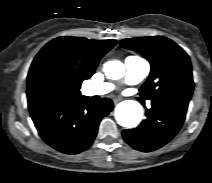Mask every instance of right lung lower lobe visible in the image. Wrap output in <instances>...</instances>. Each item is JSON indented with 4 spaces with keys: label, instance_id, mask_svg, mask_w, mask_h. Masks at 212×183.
<instances>
[{
    "label": "right lung lower lobe",
    "instance_id": "98d812e1",
    "mask_svg": "<svg viewBox=\"0 0 212 183\" xmlns=\"http://www.w3.org/2000/svg\"><path fill=\"white\" fill-rule=\"evenodd\" d=\"M112 109L108 98L92 103L86 98L59 97L30 108V114L47 144L62 153L77 154L93 143L101 119Z\"/></svg>",
    "mask_w": 212,
    "mask_h": 183
}]
</instances>
